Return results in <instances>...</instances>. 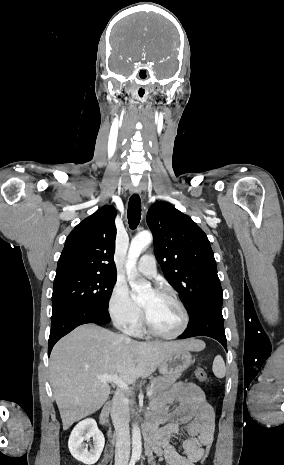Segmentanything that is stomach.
I'll return each instance as SVG.
<instances>
[{
    "mask_svg": "<svg viewBox=\"0 0 284 465\" xmlns=\"http://www.w3.org/2000/svg\"><path fill=\"white\" fill-rule=\"evenodd\" d=\"M191 365H193L191 353L187 349H177L173 353H168L162 363H158V369L163 375H168V373H182Z\"/></svg>",
    "mask_w": 284,
    "mask_h": 465,
    "instance_id": "obj_1",
    "label": "stomach"
}]
</instances>
